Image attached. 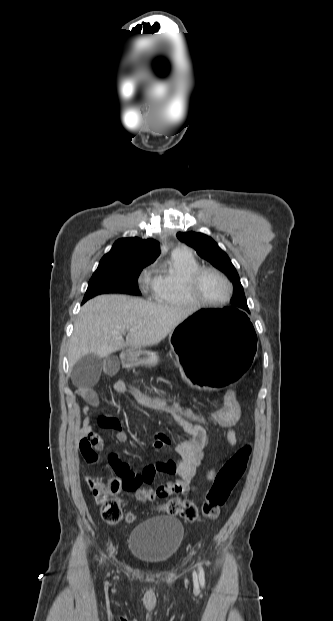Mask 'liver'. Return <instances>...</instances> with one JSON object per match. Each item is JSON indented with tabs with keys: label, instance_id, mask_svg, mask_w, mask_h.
Segmentation results:
<instances>
[{
	"label": "liver",
	"instance_id": "6515ba94",
	"mask_svg": "<svg viewBox=\"0 0 333 621\" xmlns=\"http://www.w3.org/2000/svg\"><path fill=\"white\" fill-rule=\"evenodd\" d=\"M191 314L185 308L126 295L95 297L81 307L74 324L68 348L69 367L89 354L104 358L126 347L156 345Z\"/></svg>",
	"mask_w": 333,
	"mask_h": 621
}]
</instances>
